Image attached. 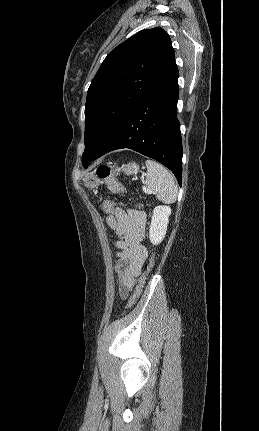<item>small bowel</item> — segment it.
Here are the masks:
<instances>
[{
	"label": "small bowel",
	"instance_id": "obj_1",
	"mask_svg": "<svg viewBox=\"0 0 259 431\" xmlns=\"http://www.w3.org/2000/svg\"><path fill=\"white\" fill-rule=\"evenodd\" d=\"M122 214L107 217V223L115 232L117 240L116 271L120 297H128L136 277L141 273L148 256L143 245L145 239L146 213L135 208H122Z\"/></svg>",
	"mask_w": 259,
	"mask_h": 431
}]
</instances>
